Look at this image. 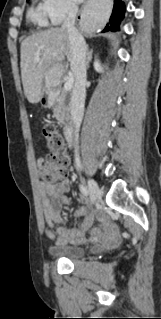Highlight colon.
I'll list each match as a JSON object with an SVG mask.
<instances>
[{
	"mask_svg": "<svg viewBox=\"0 0 161 319\" xmlns=\"http://www.w3.org/2000/svg\"><path fill=\"white\" fill-rule=\"evenodd\" d=\"M41 132L52 149V154L45 159L42 170L45 179L52 182L66 174L70 165V157L63 148V136L54 125H44Z\"/></svg>",
	"mask_w": 161,
	"mask_h": 319,
	"instance_id": "1",
	"label": "colon"
}]
</instances>
